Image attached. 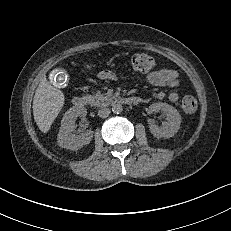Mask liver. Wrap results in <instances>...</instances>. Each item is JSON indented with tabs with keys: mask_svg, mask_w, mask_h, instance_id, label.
<instances>
[{
	"mask_svg": "<svg viewBox=\"0 0 231 231\" xmlns=\"http://www.w3.org/2000/svg\"><path fill=\"white\" fill-rule=\"evenodd\" d=\"M64 94L43 78L34 95L33 115L38 128L47 133L64 105Z\"/></svg>",
	"mask_w": 231,
	"mask_h": 231,
	"instance_id": "1",
	"label": "liver"
}]
</instances>
